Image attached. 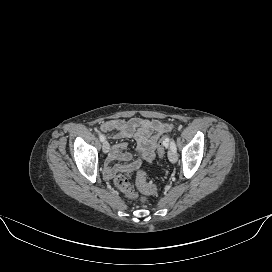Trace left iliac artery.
Listing matches in <instances>:
<instances>
[{"mask_svg": "<svg viewBox=\"0 0 272 272\" xmlns=\"http://www.w3.org/2000/svg\"><path fill=\"white\" fill-rule=\"evenodd\" d=\"M170 148H171V150H173L174 152H176V150H177L176 145H175L173 139H171V141H170Z\"/></svg>", "mask_w": 272, "mask_h": 272, "instance_id": "left-iliac-artery-1", "label": "left iliac artery"}]
</instances>
